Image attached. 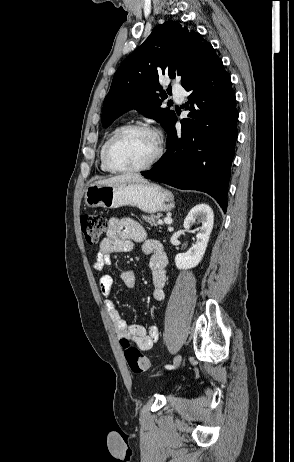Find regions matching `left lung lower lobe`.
I'll return each mask as SVG.
<instances>
[{
  "label": "left lung lower lobe",
  "mask_w": 294,
  "mask_h": 462,
  "mask_svg": "<svg viewBox=\"0 0 294 462\" xmlns=\"http://www.w3.org/2000/svg\"><path fill=\"white\" fill-rule=\"evenodd\" d=\"M183 87L190 92L184 105L189 118L181 121V133L176 132L173 118L166 130V155L142 175L176 188L206 192L226 212L238 137L231 78L217 58Z\"/></svg>",
  "instance_id": "1"
}]
</instances>
